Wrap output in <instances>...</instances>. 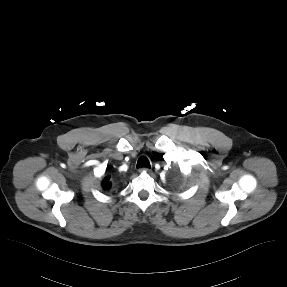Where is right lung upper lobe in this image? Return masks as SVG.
I'll use <instances>...</instances> for the list:
<instances>
[{"label":"right lung upper lobe","mask_w":287,"mask_h":287,"mask_svg":"<svg viewBox=\"0 0 287 287\" xmlns=\"http://www.w3.org/2000/svg\"><path fill=\"white\" fill-rule=\"evenodd\" d=\"M108 180H109V177H106V178L103 180L102 185H103V188H104V189H109L110 186H111V184L108 182Z\"/></svg>","instance_id":"obj_1"}]
</instances>
